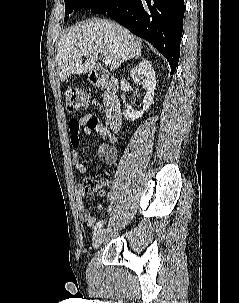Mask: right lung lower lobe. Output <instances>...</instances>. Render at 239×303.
<instances>
[{"label": "right lung lower lobe", "mask_w": 239, "mask_h": 303, "mask_svg": "<svg viewBox=\"0 0 239 303\" xmlns=\"http://www.w3.org/2000/svg\"><path fill=\"white\" fill-rule=\"evenodd\" d=\"M184 0H106L93 13H107L133 34L146 39L168 60L171 74L180 56Z\"/></svg>", "instance_id": "98d812e1"}]
</instances>
